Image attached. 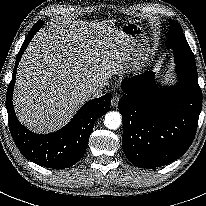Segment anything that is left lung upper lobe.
<instances>
[{"instance_id":"left-lung-upper-lobe-1","label":"left lung upper lobe","mask_w":206,"mask_h":206,"mask_svg":"<svg viewBox=\"0 0 206 206\" xmlns=\"http://www.w3.org/2000/svg\"><path fill=\"white\" fill-rule=\"evenodd\" d=\"M167 45L173 48L175 60L196 67L194 55L187 43L179 23L170 20V30L167 37Z\"/></svg>"}]
</instances>
